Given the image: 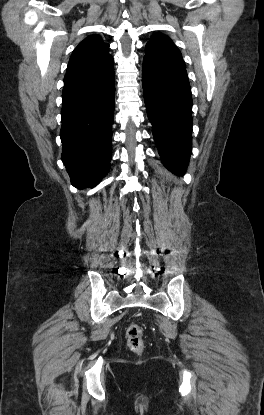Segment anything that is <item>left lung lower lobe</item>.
Wrapping results in <instances>:
<instances>
[{
	"instance_id": "1",
	"label": "left lung lower lobe",
	"mask_w": 264,
	"mask_h": 415,
	"mask_svg": "<svg viewBox=\"0 0 264 415\" xmlns=\"http://www.w3.org/2000/svg\"><path fill=\"white\" fill-rule=\"evenodd\" d=\"M142 78L161 160L173 173L182 175L192 143V94L186 69L144 57Z\"/></svg>"
}]
</instances>
